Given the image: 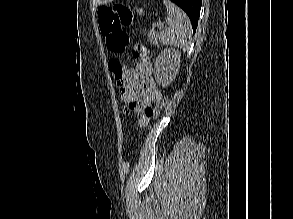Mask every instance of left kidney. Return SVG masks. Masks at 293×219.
Segmentation results:
<instances>
[{
	"instance_id": "5707ae66",
	"label": "left kidney",
	"mask_w": 293,
	"mask_h": 219,
	"mask_svg": "<svg viewBox=\"0 0 293 219\" xmlns=\"http://www.w3.org/2000/svg\"><path fill=\"white\" fill-rule=\"evenodd\" d=\"M181 53L174 48H165L155 59V78L159 85L167 87L175 79L180 67Z\"/></svg>"
}]
</instances>
